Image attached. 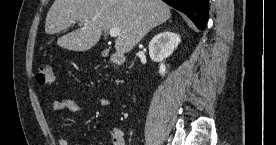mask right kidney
Segmentation results:
<instances>
[{
	"instance_id": "ca27d5eb",
	"label": "right kidney",
	"mask_w": 276,
	"mask_h": 145,
	"mask_svg": "<svg viewBox=\"0 0 276 145\" xmlns=\"http://www.w3.org/2000/svg\"><path fill=\"white\" fill-rule=\"evenodd\" d=\"M180 36L170 31H164L155 35L149 43V55L152 61L160 62L159 74H166V66L163 60L169 57L180 43Z\"/></svg>"
}]
</instances>
